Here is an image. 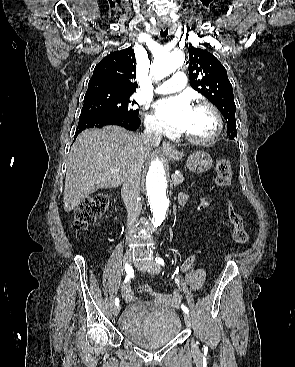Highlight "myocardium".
Listing matches in <instances>:
<instances>
[{
	"label": "myocardium",
	"instance_id": "obj_1",
	"mask_svg": "<svg viewBox=\"0 0 295 367\" xmlns=\"http://www.w3.org/2000/svg\"><path fill=\"white\" fill-rule=\"evenodd\" d=\"M194 108H206L208 109L214 116L216 127L213 133L205 138H195L186 133H183V137L190 143L195 145H206L214 142L223 131V119L219 110L208 101H199L195 104Z\"/></svg>",
	"mask_w": 295,
	"mask_h": 367
}]
</instances>
